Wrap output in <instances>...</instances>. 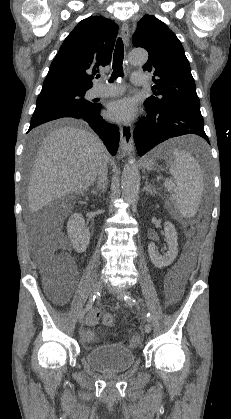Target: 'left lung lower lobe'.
Listing matches in <instances>:
<instances>
[{
    "mask_svg": "<svg viewBox=\"0 0 231 419\" xmlns=\"http://www.w3.org/2000/svg\"><path fill=\"white\" fill-rule=\"evenodd\" d=\"M148 114L142 117L134 129V141L139 155H144L157 144L186 134L209 139L204 131L200 105L183 104L153 109L144 103Z\"/></svg>",
    "mask_w": 231,
    "mask_h": 419,
    "instance_id": "obj_1",
    "label": "left lung lower lobe"
}]
</instances>
